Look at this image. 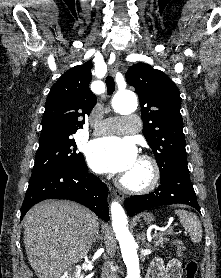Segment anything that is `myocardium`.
<instances>
[{"mask_svg":"<svg viewBox=\"0 0 221 278\" xmlns=\"http://www.w3.org/2000/svg\"><path fill=\"white\" fill-rule=\"evenodd\" d=\"M138 159L140 161L145 162L149 166L150 178L145 184L140 186H135L127 183L123 177L118 178L117 184L119 188L127 193H131V194L149 193L157 187L160 181L161 171L157 161L153 157L147 154H141L138 157Z\"/></svg>","mask_w":221,"mask_h":278,"instance_id":"myocardium-1","label":"myocardium"}]
</instances>
